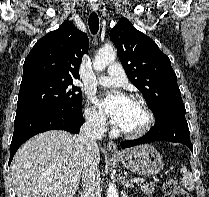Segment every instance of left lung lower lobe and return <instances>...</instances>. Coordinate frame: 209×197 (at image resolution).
Returning a JSON list of instances; mask_svg holds the SVG:
<instances>
[{
	"mask_svg": "<svg viewBox=\"0 0 209 197\" xmlns=\"http://www.w3.org/2000/svg\"><path fill=\"white\" fill-rule=\"evenodd\" d=\"M185 112V107H174L160 111L155 115V125L145 136L136 140L124 141L121 143V147L128 148L152 141H170L185 144L193 151Z\"/></svg>",
	"mask_w": 209,
	"mask_h": 197,
	"instance_id": "obj_1",
	"label": "left lung lower lobe"
}]
</instances>
